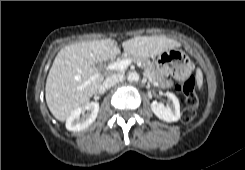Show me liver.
Segmentation results:
<instances>
[{"mask_svg": "<svg viewBox=\"0 0 245 170\" xmlns=\"http://www.w3.org/2000/svg\"><path fill=\"white\" fill-rule=\"evenodd\" d=\"M180 43L165 36H136L122 43L126 54L153 57ZM120 53L112 39L82 41L62 48L54 59L46 80L45 98L52 115L63 122L100 88L104 76L95 64ZM93 76H96L92 79Z\"/></svg>", "mask_w": 245, "mask_h": 170, "instance_id": "obj_1", "label": "liver"}]
</instances>
